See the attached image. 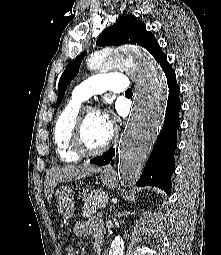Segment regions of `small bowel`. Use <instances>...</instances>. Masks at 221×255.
Segmentation results:
<instances>
[{
	"mask_svg": "<svg viewBox=\"0 0 221 255\" xmlns=\"http://www.w3.org/2000/svg\"><path fill=\"white\" fill-rule=\"evenodd\" d=\"M74 234L77 237H86L92 235L93 238H103L104 228L102 223L96 219L92 218L86 222H78L73 228ZM67 255H75V248L73 246H68L66 250Z\"/></svg>",
	"mask_w": 221,
	"mask_h": 255,
	"instance_id": "1",
	"label": "small bowel"
}]
</instances>
